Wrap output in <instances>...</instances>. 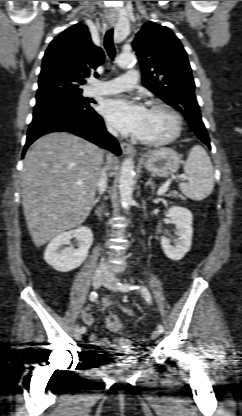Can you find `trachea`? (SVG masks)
<instances>
[{
  "mask_svg": "<svg viewBox=\"0 0 242 416\" xmlns=\"http://www.w3.org/2000/svg\"><path fill=\"white\" fill-rule=\"evenodd\" d=\"M104 45L110 59L113 60L116 54V50L113 43V29H110L106 32L104 37Z\"/></svg>",
  "mask_w": 242,
  "mask_h": 416,
  "instance_id": "1",
  "label": "trachea"
}]
</instances>
